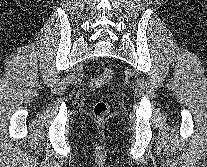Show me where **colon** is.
Returning <instances> with one entry per match:
<instances>
[{"mask_svg": "<svg viewBox=\"0 0 207 167\" xmlns=\"http://www.w3.org/2000/svg\"><path fill=\"white\" fill-rule=\"evenodd\" d=\"M112 71L110 69H104L103 72L92 78L89 82V87L91 90L95 91L100 89L112 78ZM110 111V104L107 101H97L93 107V113L96 117H105Z\"/></svg>", "mask_w": 207, "mask_h": 167, "instance_id": "1", "label": "colon"}]
</instances>
